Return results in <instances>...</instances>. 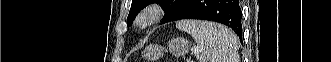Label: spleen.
<instances>
[{"mask_svg":"<svg viewBox=\"0 0 331 62\" xmlns=\"http://www.w3.org/2000/svg\"><path fill=\"white\" fill-rule=\"evenodd\" d=\"M177 28L189 33L201 49L200 62H238L236 36L214 22L181 20Z\"/></svg>","mask_w":331,"mask_h":62,"instance_id":"3e777b00","label":"spleen"}]
</instances>
